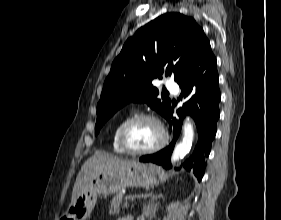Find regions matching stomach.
Wrapping results in <instances>:
<instances>
[{"instance_id":"obj_1","label":"stomach","mask_w":281,"mask_h":220,"mask_svg":"<svg viewBox=\"0 0 281 220\" xmlns=\"http://www.w3.org/2000/svg\"><path fill=\"white\" fill-rule=\"evenodd\" d=\"M160 173L156 165L139 162L116 170L100 171L69 205L61 220H86L95 207L98 195L119 193L127 187L152 186Z\"/></svg>"}]
</instances>
